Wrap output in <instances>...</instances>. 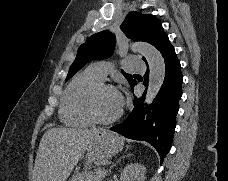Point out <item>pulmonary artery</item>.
<instances>
[{
	"instance_id": "1",
	"label": "pulmonary artery",
	"mask_w": 228,
	"mask_h": 181,
	"mask_svg": "<svg viewBox=\"0 0 228 181\" xmlns=\"http://www.w3.org/2000/svg\"><path fill=\"white\" fill-rule=\"evenodd\" d=\"M136 62H139V57H126L125 66L130 67V71H145V66H136ZM106 71H114L113 62H93V65H89V70H86V75H94L99 80H103L106 77Z\"/></svg>"
}]
</instances>
